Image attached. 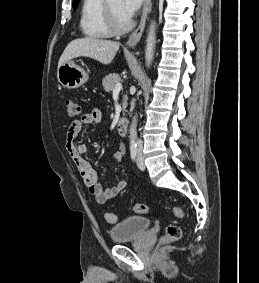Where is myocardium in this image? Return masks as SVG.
Returning a JSON list of instances; mask_svg holds the SVG:
<instances>
[{"mask_svg":"<svg viewBox=\"0 0 259 283\" xmlns=\"http://www.w3.org/2000/svg\"><path fill=\"white\" fill-rule=\"evenodd\" d=\"M104 13H105L107 25H108L110 31L112 32V34L120 35V34L126 33L127 31H129L131 29V27L133 25L132 21L128 20L125 23H121L118 20L116 14H115V12H114L111 4H110V0H105Z\"/></svg>","mask_w":259,"mask_h":283,"instance_id":"obj_1","label":"myocardium"}]
</instances>
